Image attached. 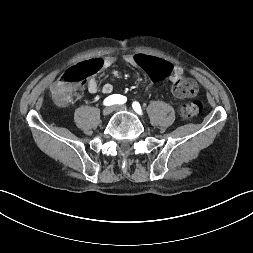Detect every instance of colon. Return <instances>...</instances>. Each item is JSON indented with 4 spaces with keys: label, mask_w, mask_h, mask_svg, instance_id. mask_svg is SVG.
I'll return each instance as SVG.
<instances>
[{
    "label": "colon",
    "mask_w": 253,
    "mask_h": 253,
    "mask_svg": "<svg viewBox=\"0 0 253 253\" xmlns=\"http://www.w3.org/2000/svg\"><path fill=\"white\" fill-rule=\"evenodd\" d=\"M135 62L143 71H147L152 80H161L171 73V65L162 61L158 56L139 53ZM101 68L98 59H92L75 65L65 71L63 76L53 85L52 95L59 104H66L71 99L72 87L86 78L97 73ZM197 92V84L193 79L181 78L174 85V93L180 97H191ZM202 102L192 100L180 107V114L184 118H193L202 110Z\"/></svg>",
    "instance_id": "1"
}]
</instances>
